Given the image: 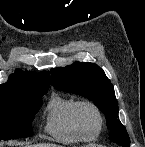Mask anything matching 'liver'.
<instances>
[{"label":"liver","mask_w":145,"mask_h":147,"mask_svg":"<svg viewBox=\"0 0 145 147\" xmlns=\"http://www.w3.org/2000/svg\"><path fill=\"white\" fill-rule=\"evenodd\" d=\"M30 147H59L58 145L55 144H46V143H42V144H34Z\"/></svg>","instance_id":"liver-1"}]
</instances>
